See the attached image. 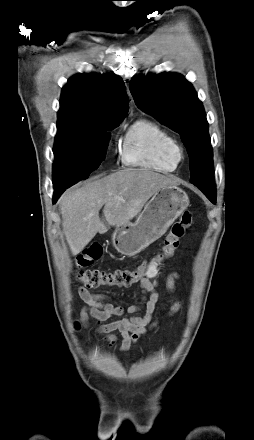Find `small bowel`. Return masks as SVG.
I'll list each match as a JSON object with an SVG mask.
<instances>
[{
	"label": "small bowel",
	"instance_id": "c3829d8e",
	"mask_svg": "<svg viewBox=\"0 0 254 440\" xmlns=\"http://www.w3.org/2000/svg\"><path fill=\"white\" fill-rule=\"evenodd\" d=\"M162 261L163 258L160 255L151 261L145 276L139 282L142 292L140 302L126 308L110 303L108 297L104 294L94 293L85 287H80L78 297L85 304L80 310L81 320L86 323L89 317L96 319L99 324L97 332L106 334V340L110 345L115 344L117 341V337L112 333L118 332L122 339L120 349L122 351L129 350L146 333L149 327L156 326V323L152 322V316L159 299L157 275L158 266ZM176 278L177 274L175 273L168 277L166 282L168 289L172 290L174 288ZM180 306V302H175L170 309V314L177 312ZM141 310H144L143 315H135ZM125 312L131 316L106 322L111 317L121 316Z\"/></svg>",
	"mask_w": 254,
	"mask_h": 440
}]
</instances>
